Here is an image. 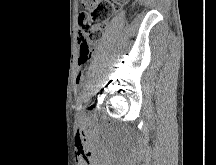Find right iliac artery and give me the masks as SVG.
Here are the masks:
<instances>
[{"label": "right iliac artery", "mask_w": 216, "mask_h": 165, "mask_svg": "<svg viewBox=\"0 0 216 165\" xmlns=\"http://www.w3.org/2000/svg\"><path fill=\"white\" fill-rule=\"evenodd\" d=\"M83 105H84V102H83V101H80V102H79V105H78V107H77V109L81 108V106H83Z\"/></svg>", "instance_id": "right-iliac-artery-1"}]
</instances>
